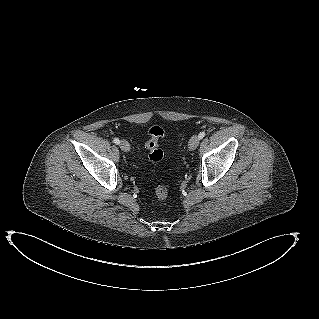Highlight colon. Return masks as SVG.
<instances>
[{
	"label": "colon",
	"mask_w": 319,
	"mask_h": 319,
	"mask_svg": "<svg viewBox=\"0 0 319 319\" xmlns=\"http://www.w3.org/2000/svg\"><path fill=\"white\" fill-rule=\"evenodd\" d=\"M164 136V130L160 126H152L148 129V140L145 148L148 151L149 161L156 166L162 161L164 153L160 148L159 141ZM154 192L158 199L164 200L168 195V187L162 182L154 184Z\"/></svg>",
	"instance_id": "5ec220e1"
}]
</instances>
